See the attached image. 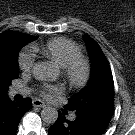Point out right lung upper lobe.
Returning <instances> with one entry per match:
<instances>
[{
    "label": "right lung upper lobe",
    "mask_w": 135,
    "mask_h": 135,
    "mask_svg": "<svg viewBox=\"0 0 135 135\" xmlns=\"http://www.w3.org/2000/svg\"><path fill=\"white\" fill-rule=\"evenodd\" d=\"M16 31H6L0 34V63H5L8 60L6 51V42L8 38Z\"/></svg>",
    "instance_id": "right-lung-upper-lobe-1"
}]
</instances>
